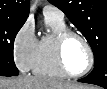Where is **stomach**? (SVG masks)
<instances>
[{
	"label": "stomach",
	"mask_w": 107,
	"mask_h": 89,
	"mask_svg": "<svg viewBox=\"0 0 107 89\" xmlns=\"http://www.w3.org/2000/svg\"><path fill=\"white\" fill-rule=\"evenodd\" d=\"M70 89H89V88H70Z\"/></svg>",
	"instance_id": "0dacf381"
}]
</instances>
